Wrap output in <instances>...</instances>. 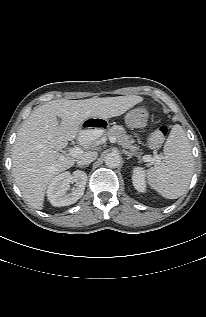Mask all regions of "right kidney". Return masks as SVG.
<instances>
[{
    "mask_svg": "<svg viewBox=\"0 0 206 317\" xmlns=\"http://www.w3.org/2000/svg\"><path fill=\"white\" fill-rule=\"evenodd\" d=\"M87 175L83 171H74L73 174L63 172L53 178L47 189V197L50 203L55 207L68 206L77 202L85 190ZM75 182V187L71 192L70 183Z\"/></svg>",
    "mask_w": 206,
    "mask_h": 317,
    "instance_id": "ca27d5eb",
    "label": "right kidney"
}]
</instances>
